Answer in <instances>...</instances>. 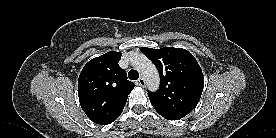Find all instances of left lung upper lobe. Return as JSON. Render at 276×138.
<instances>
[{
	"label": "left lung upper lobe",
	"instance_id": "left-lung-upper-lobe-1",
	"mask_svg": "<svg viewBox=\"0 0 276 138\" xmlns=\"http://www.w3.org/2000/svg\"><path fill=\"white\" fill-rule=\"evenodd\" d=\"M157 67L161 79L157 92H148L154 109L164 118L179 120L190 113L201 97L204 78L194 56L183 48H140Z\"/></svg>",
	"mask_w": 276,
	"mask_h": 138
}]
</instances>
